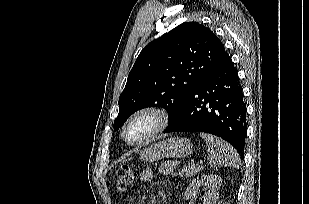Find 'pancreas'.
<instances>
[{"label": "pancreas", "instance_id": "cf45deb5", "mask_svg": "<svg viewBox=\"0 0 309 204\" xmlns=\"http://www.w3.org/2000/svg\"><path fill=\"white\" fill-rule=\"evenodd\" d=\"M203 167L199 164L191 163L189 165H185L180 171L179 175L181 177H190L201 171Z\"/></svg>", "mask_w": 309, "mask_h": 204}]
</instances>
